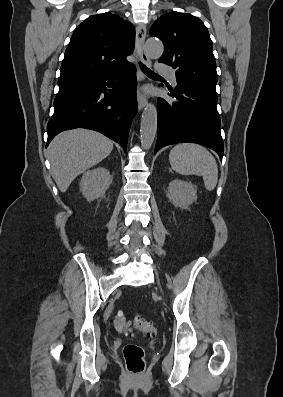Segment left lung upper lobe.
<instances>
[{
    "instance_id": "5c2ea615",
    "label": "left lung upper lobe",
    "mask_w": 283,
    "mask_h": 397,
    "mask_svg": "<svg viewBox=\"0 0 283 397\" xmlns=\"http://www.w3.org/2000/svg\"><path fill=\"white\" fill-rule=\"evenodd\" d=\"M150 35L164 43L159 62L176 69V80L217 95L213 43L203 22L187 13L163 14L150 28Z\"/></svg>"
}]
</instances>
